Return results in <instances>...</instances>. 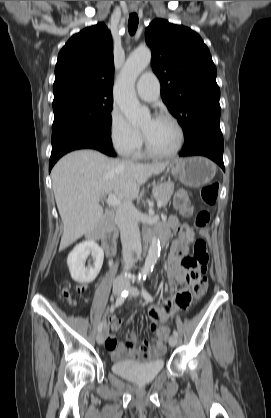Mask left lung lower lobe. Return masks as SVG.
I'll return each instance as SVG.
<instances>
[{
	"mask_svg": "<svg viewBox=\"0 0 271 418\" xmlns=\"http://www.w3.org/2000/svg\"><path fill=\"white\" fill-rule=\"evenodd\" d=\"M180 156H206L224 169L223 135L219 125H207L193 129L185 137V144Z\"/></svg>",
	"mask_w": 271,
	"mask_h": 418,
	"instance_id": "left-lung-lower-lobe-1",
	"label": "left lung lower lobe"
}]
</instances>
